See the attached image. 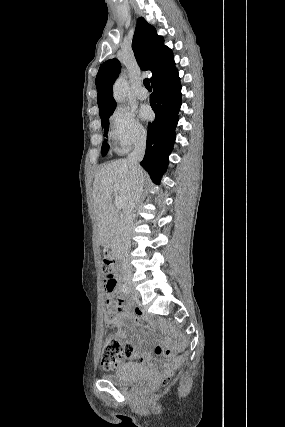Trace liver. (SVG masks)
Returning a JSON list of instances; mask_svg holds the SVG:
<instances>
[{
    "label": "liver",
    "instance_id": "liver-1",
    "mask_svg": "<svg viewBox=\"0 0 285 427\" xmlns=\"http://www.w3.org/2000/svg\"><path fill=\"white\" fill-rule=\"evenodd\" d=\"M134 186L133 175L126 159H120L102 166L93 183V214L102 243L114 220L113 194L121 197L124 206L128 204ZM116 188V191L114 190Z\"/></svg>",
    "mask_w": 285,
    "mask_h": 427
}]
</instances>
